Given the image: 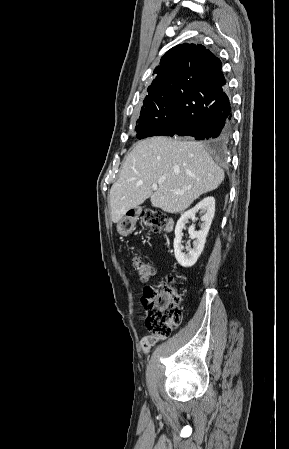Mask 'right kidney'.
Segmentation results:
<instances>
[{
    "mask_svg": "<svg viewBox=\"0 0 289 449\" xmlns=\"http://www.w3.org/2000/svg\"><path fill=\"white\" fill-rule=\"evenodd\" d=\"M198 212L202 214V224L200 226V230L195 231L194 226L189 228L190 237L194 239L193 248H186L187 253H184L182 252L184 247L181 244L183 236L182 230L185 228L188 219H196L195 215ZM214 213L215 199L214 197L209 196L201 200L195 207L182 214L177 221L173 246L175 258L182 267H191L197 262V259L204 249L206 237L209 232Z\"/></svg>",
    "mask_w": 289,
    "mask_h": 449,
    "instance_id": "right-kidney-1",
    "label": "right kidney"
}]
</instances>
